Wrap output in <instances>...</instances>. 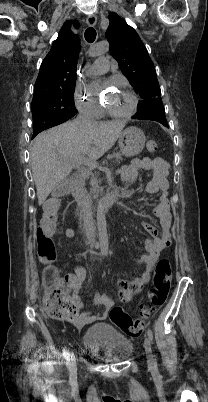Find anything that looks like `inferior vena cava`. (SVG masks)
<instances>
[{
  "mask_svg": "<svg viewBox=\"0 0 208 402\" xmlns=\"http://www.w3.org/2000/svg\"><path fill=\"white\" fill-rule=\"evenodd\" d=\"M91 122H93V120H91L89 116H86V114H83V112H80L79 116H77L76 120H74V124H77V126H85V124H91ZM80 212L88 244H93V242H95V228L92 210L86 190H84L82 194V204Z\"/></svg>",
  "mask_w": 208,
  "mask_h": 402,
  "instance_id": "inferior-vena-cava-1",
  "label": "inferior vena cava"
}]
</instances>
